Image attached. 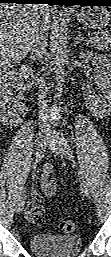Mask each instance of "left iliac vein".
<instances>
[{
    "mask_svg": "<svg viewBox=\"0 0 111 257\" xmlns=\"http://www.w3.org/2000/svg\"><path fill=\"white\" fill-rule=\"evenodd\" d=\"M50 149L53 150V152L58 153L62 156L64 155V156H68L69 158H73L71 148H70V146H67L66 140H64V139H58L57 142L52 141L50 143ZM75 166H77V165L75 164ZM77 171H78V175H79L81 190L85 196L89 197L90 196L89 189H88L87 183L82 175V172L80 169H78Z\"/></svg>",
    "mask_w": 111,
    "mask_h": 257,
    "instance_id": "4c4485c4",
    "label": "left iliac vein"
}]
</instances>
